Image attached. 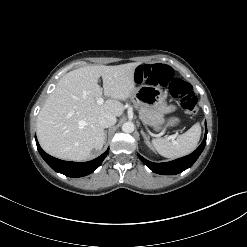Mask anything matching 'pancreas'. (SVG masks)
Returning <instances> with one entry per match:
<instances>
[{
	"instance_id": "pancreas-1",
	"label": "pancreas",
	"mask_w": 247,
	"mask_h": 247,
	"mask_svg": "<svg viewBox=\"0 0 247 247\" xmlns=\"http://www.w3.org/2000/svg\"><path fill=\"white\" fill-rule=\"evenodd\" d=\"M134 105L139 108V115L145 124L156 126L164 122L163 114L160 110L143 106L138 101Z\"/></svg>"
}]
</instances>
